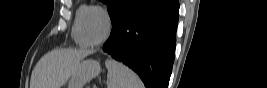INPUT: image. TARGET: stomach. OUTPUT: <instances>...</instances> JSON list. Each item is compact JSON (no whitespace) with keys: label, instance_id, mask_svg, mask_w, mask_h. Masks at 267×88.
<instances>
[{"label":"stomach","instance_id":"obj_1","mask_svg":"<svg viewBox=\"0 0 267 88\" xmlns=\"http://www.w3.org/2000/svg\"><path fill=\"white\" fill-rule=\"evenodd\" d=\"M100 63L93 59L81 61L71 75L67 88H83L84 85L100 73Z\"/></svg>","mask_w":267,"mask_h":88}]
</instances>
